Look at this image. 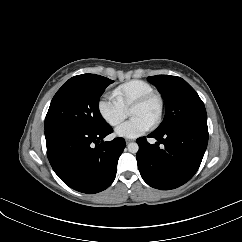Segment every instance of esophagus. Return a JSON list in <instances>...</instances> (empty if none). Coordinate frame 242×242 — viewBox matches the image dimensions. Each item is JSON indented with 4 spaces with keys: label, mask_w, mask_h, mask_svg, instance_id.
I'll list each match as a JSON object with an SVG mask.
<instances>
[{
    "label": "esophagus",
    "mask_w": 242,
    "mask_h": 242,
    "mask_svg": "<svg viewBox=\"0 0 242 242\" xmlns=\"http://www.w3.org/2000/svg\"><path fill=\"white\" fill-rule=\"evenodd\" d=\"M130 142H131V140H129V139L126 140V143H127V144L130 143Z\"/></svg>",
    "instance_id": "esophagus-1"
}]
</instances>
